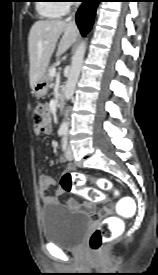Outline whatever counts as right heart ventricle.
I'll return each mask as SVG.
<instances>
[{
	"instance_id": "1",
	"label": "right heart ventricle",
	"mask_w": 158,
	"mask_h": 275,
	"mask_svg": "<svg viewBox=\"0 0 158 275\" xmlns=\"http://www.w3.org/2000/svg\"><path fill=\"white\" fill-rule=\"evenodd\" d=\"M44 3H40L38 5L39 12L49 18H57L62 16L65 12L63 8L59 5V3H55L54 1H43ZM57 2V1H56Z\"/></svg>"
}]
</instances>
